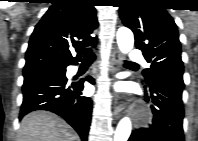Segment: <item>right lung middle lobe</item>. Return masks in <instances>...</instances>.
Listing matches in <instances>:
<instances>
[{"mask_svg": "<svg viewBox=\"0 0 198 141\" xmlns=\"http://www.w3.org/2000/svg\"><path fill=\"white\" fill-rule=\"evenodd\" d=\"M47 72H65V67H60V68H46V69H40L36 71H31V72H24V77L31 76V75H36V74H41V73H47Z\"/></svg>", "mask_w": 198, "mask_h": 141, "instance_id": "dd1d6c3e", "label": "right lung middle lobe"}]
</instances>
